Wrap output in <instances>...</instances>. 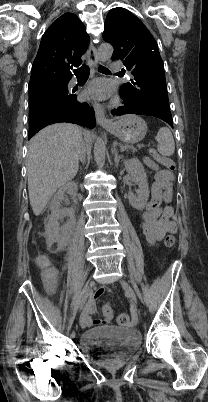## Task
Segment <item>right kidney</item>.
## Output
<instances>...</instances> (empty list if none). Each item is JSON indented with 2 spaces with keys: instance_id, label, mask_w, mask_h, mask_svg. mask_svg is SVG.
Wrapping results in <instances>:
<instances>
[{
  "instance_id": "1",
  "label": "right kidney",
  "mask_w": 208,
  "mask_h": 402,
  "mask_svg": "<svg viewBox=\"0 0 208 402\" xmlns=\"http://www.w3.org/2000/svg\"><path fill=\"white\" fill-rule=\"evenodd\" d=\"M65 194H70L72 198H76L77 184L75 182H67L62 188H59L50 202L51 214L48 216L45 226V238L48 244L57 242L59 248L67 246L72 234L71 228H68V226L59 228V220H63L65 216H74L72 208H63V210L60 208L63 200H65Z\"/></svg>"
}]
</instances>
